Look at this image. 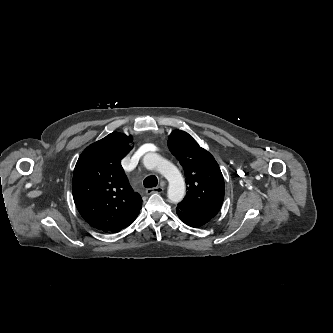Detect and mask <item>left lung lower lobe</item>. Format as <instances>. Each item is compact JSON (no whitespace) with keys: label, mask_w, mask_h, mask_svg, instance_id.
Instances as JSON below:
<instances>
[{"label":"left lung lower lobe","mask_w":333,"mask_h":333,"mask_svg":"<svg viewBox=\"0 0 333 333\" xmlns=\"http://www.w3.org/2000/svg\"><path fill=\"white\" fill-rule=\"evenodd\" d=\"M176 213L183 221L185 224L188 226L197 228L201 227L204 224L208 223L212 218L203 216V215H198V214H193L187 211L180 210L179 208H176Z\"/></svg>","instance_id":"left-lung-lower-lobe-1"}]
</instances>
